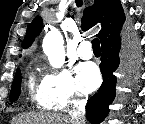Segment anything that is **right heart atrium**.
<instances>
[{"instance_id": "1", "label": "right heart atrium", "mask_w": 145, "mask_h": 124, "mask_svg": "<svg viewBox=\"0 0 145 124\" xmlns=\"http://www.w3.org/2000/svg\"><path fill=\"white\" fill-rule=\"evenodd\" d=\"M41 87L55 109L66 111L83 104L86 96L71 72L60 70L47 73Z\"/></svg>"}]
</instances>
